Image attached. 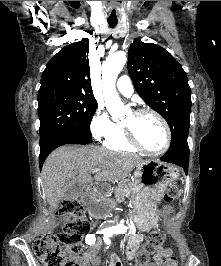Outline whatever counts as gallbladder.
<instances>
[{
    "instance_id": "1",
    "label": "gallbladder",
    "mask_w": 221,
    "mask_h": 266,
    "mask_svg": "<svg viewBox=\"0 0 221 266\" xmlns=\"http://www.w3.org/2000/svg\"><path fill=\"white\" fill-rule=\"evenodd\" d=\"M86 185L84 184H74L66 192L64 199L65 200H76L78 199L85 191Z\"/></svg>"
}]
</instances>
